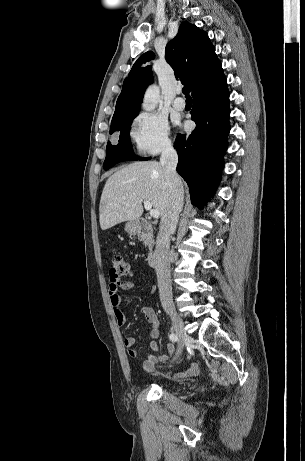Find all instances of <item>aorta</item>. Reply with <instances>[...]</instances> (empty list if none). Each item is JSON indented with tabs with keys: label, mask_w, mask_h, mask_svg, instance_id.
<instances>
[{
	"label": "aorta",
	"mask_w": 305,
	"mask_h": 461,
	"mask_svg": "<svg viewBox=\"0 0 305 461\" xmlns=\"http://www.w3.org/2000/svg\"><path fill=\"white\" fill-rule=\"evenodd\" d=\"M159 89L157 86L153 85L149 87L145 93L142 107L146 111H153L159 101Z\"/></svg>",
	"instance_id": "obj_1"
}]
</instances>
